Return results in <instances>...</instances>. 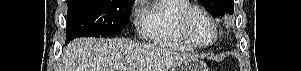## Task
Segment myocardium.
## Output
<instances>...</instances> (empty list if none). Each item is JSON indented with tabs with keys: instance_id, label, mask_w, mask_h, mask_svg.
Instances as JSON below:
<instances>
[{
	"instance_id": "myocardium-1",
	"label": "myocardium",
	"mask_w": 301,
	"mask_h": 71,
	"mask_svg": "<svg viewBox=\"0 0 301 71\" xmlns=\"http://www.w3.org/2000/svg\"><path fill=\"white\" fill-rule=\"evenodd\" d=\"M195 13H199L202 16H204L212 25L213 27V38L211 39L210 42L208 43H200L198 42L194 36L191 33L190 30V20L193 14ZM178 25H179V29L180 32L182 34V36L189 41L192 45H194L196 48H207L212 46L218 37V27L216 22L214 21L213 17L203 8L196 6V5H190L184 9H182L180 11V13L178 14Z\"/></svg>"
}]
</instances>
